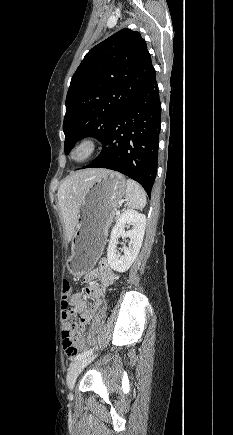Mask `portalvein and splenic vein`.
<instances>
[{
    "label": "portal vein and splenic vein",
    "instance_id": "18ae733b",
    "mask_svg": "<svg viewBox=\"0 0 233 435\" xmlns=\"http://www.w3.org/2000/svg\"><path fill=\"white\" fill-rule=\"evenodd\" d=\"M116 214H120V212H119V211H117V212H116Z\"/></svg>",
    "mask_w": 233,
    "mask_h": 435
}]
</instances>
